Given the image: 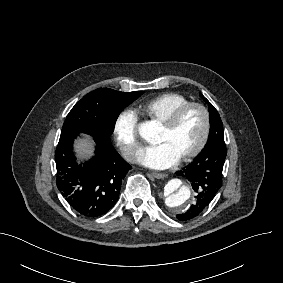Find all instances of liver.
Returning a JSON list of instances; mask_svg holds the SVG:
<instances>
[{"instance_id": "6515ba94", "label": "liver", "mask_w": 283, "mask_h": 283, "mask_svg": "<svg viewBox=\"0 0 283 283\" xmlns=\"http://www.w3.org/2000/svg\"><path fill=\"white\" fill-rule=\"evenodd\" d=\"M74 148L79 159H88L94 155V141L90 136L77 139Z\"/></svg>"}]
</instances>
